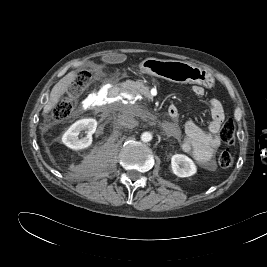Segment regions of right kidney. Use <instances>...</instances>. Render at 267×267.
I'll use <instances>...</instances> for the list:
<instances>
[{
    "label": "right kidney",
    "mask_w": 267,
    "mask_h": 267,
    "mask_svg": "<svg viewBox=\"0 0 267 267\" xmlns=\"http://www.w3.org/2000/svg\"><path fill=\"white\" fill-rule=\"evenodd\" d=\"M96 128L97 121L93 118L78 120L63 134L62 142L74 150L85 149L92 144V134L96 131ZM86 129L88 130L87 136L78 139L79 133Z\"/></svg>",
    "instance_id": "ca27d5eb"
}]
</instances>
